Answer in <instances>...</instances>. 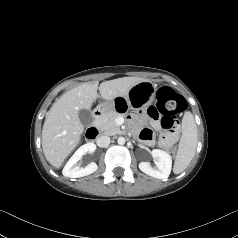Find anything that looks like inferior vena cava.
<instances>
[{
    "label": "inferior vena cava",
    "instance_id": "inferior-vena-cava-1",
    "mask_svg": "<svg viewBox=\"0 0 238 238\" xmlns=\"http://www.w3.org/2000/svg\"><path fill=\"white\" fill-rule=\"evenodd\" d=\"M97 146L99 147H107L110 144V137L109 136H100L97 138Z\"/></svg>",
    "mask_w": 238,
    "mask_h": 238
}]
</instances>
